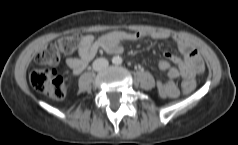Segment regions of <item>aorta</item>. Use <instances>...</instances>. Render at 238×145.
Listing matches in <instances>:
<instances>
[{
  "label": "aorta",
  "mask_w": 238,
  "mask_h": 145,
  "mask_svg": "<svg viewBox=\"0 0 238 145\" xmlns=\"http://www.w3.org/2000/svg\"><path fill=\"white\" fill-rule=\"evenodd\" d=\"M113 62L116 64H120L122 62V59L120 57H115Z\"/></svg>",
  "instance_id": "aorta-1"
}]
</instances>
